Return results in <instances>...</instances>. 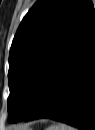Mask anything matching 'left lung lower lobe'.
<instances>
[{"mask_svg": "<svg viewBox=\"0 0 95 130\" xmlns=\"http://www.w3.org/2000/svg\"><path fill=\"white\" fill-rule=\"evenodd\" d=\"M40 118L95 129V15L53 66L35 103L20 120Z\"/></svg>", "mask_w": 95, "mask_h": 130, "instance_id": "1", "label": "left lung lower lobe"}]
</instances>
